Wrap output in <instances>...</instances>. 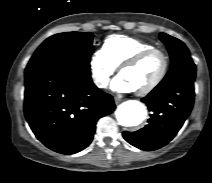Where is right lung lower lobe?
Returning <instances> with one entry per match:
<instances>
[{
  "instance_id": "1",
  "label": "right lung lower lobe",
  "mask_w": 212,
  "mask_h": 183,
  "mask_svg": "<svg viewBox=\"0 0 212 183\" xmlns=\"http://www.w3.org/2000/svg\"><path fill=\"white\" fill-rule=\"evenodd\" d=\"M115 107L113 97L93 84L90 70H25V117L38 140L55 152L73 154L85 149L97 120Z\"/></svg>"
}]
</instances>
